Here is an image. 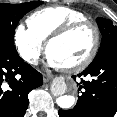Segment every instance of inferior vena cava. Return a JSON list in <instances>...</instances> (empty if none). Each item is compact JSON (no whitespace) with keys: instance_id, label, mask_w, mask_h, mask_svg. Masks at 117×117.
<instances>
[{"instance_id":"1","label":"inferior vena cava","mask_w":117,"mask_h":117,"mask_svg":"<svg viewBox=\"0 0 117 117\" xmlns=\"http://www.w3.org/2000/svg\"><path fill=\"white\" fill-rule=\"evenodd\" d=\"M31 63H33V64H37V61H33V62H31Z\"/></svg>"}]
</instances>
